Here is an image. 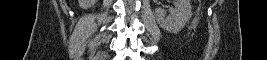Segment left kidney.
<instances>
[{
  "instance_id": "obj_1",
  "label": "left kidney",
  "mask_w": 267,
  "mask_h": 60,
  "mask_svg": "<svg viewBox=\"0 0 267 60\" xmlns=\"http://www.w3.org/2000/svg\"><path fill=\"white\" fill-rule=\"evenodd\" d=\"M174 8L169 9V16L166 17V10L157 7L155 17L159 26L170 32H179L188 22L192 15V8L189 0H175Z\"/></svg>"
}]
</instances>
